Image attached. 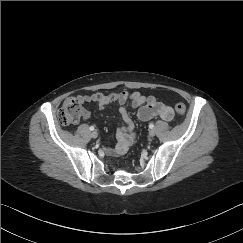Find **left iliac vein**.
Segmentation results:
<instances>
[{
	"label": "left iliac vein",
	"mask_w": 243,
	"mask_h": 243,
	"mask_svg": "<svg viewBox=\"0 0 243 243\" xmlns=\"http://www.w3.org/2000/svg\"><path fill=\"white\" fill-rule=\"evenodd\" d=\"M149 135H150L151 137L155 136V131L152 130V129H150V130H149Z\"/></svg>",
	"instance_id": "obj_1"
}]
</instances>
